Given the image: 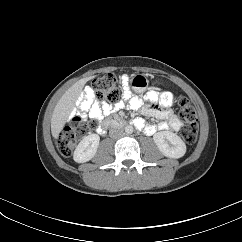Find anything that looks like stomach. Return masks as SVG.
Segmentation results:
<instances>
[{
    "instance_id": "stomach-1",
    "label": "stomach",
    "mask_w": 242,
    "mask_h": 242,
    "mask_svg": "<svg viewBox=\"0 0 242 242\" xmlns=\"http://www.w3.org/2000/svg\"><path fill=\"white\" fill-rule=\"evenodd\" d=\"M148 79L147 76L143 73L133 74L131 77V88L136 93H143L148 87Z\"/></svg>"
}]
</instances>
